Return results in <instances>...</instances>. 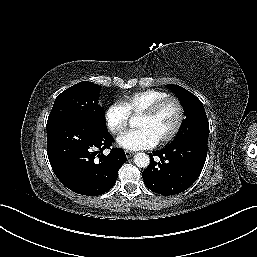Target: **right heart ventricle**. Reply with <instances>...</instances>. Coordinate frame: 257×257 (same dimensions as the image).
Here are the masks:
<instances>
[{"mask_svg":"<svg viewBox=\"0 0 257 257\" xmlns=\"http://www.w3.org/2000/svg\"><path fill=\"white\" fill-rule=\"evenodd\" d=\"M167 96H169V94L165 91L147 89L126 96L123 99V104L126 106L131 115H138L157 101Z\"/></svg>","mask_w":257,"mask_h":257,"instance_id":"1","label":"right heart ventricle"}]
</instances>
